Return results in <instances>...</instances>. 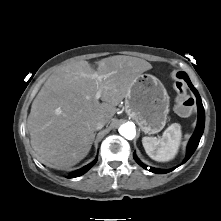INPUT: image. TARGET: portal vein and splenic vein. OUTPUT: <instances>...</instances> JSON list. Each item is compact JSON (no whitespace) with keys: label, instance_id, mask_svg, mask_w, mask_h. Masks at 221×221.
Masks as SVG:
<instances>
[{"label":"portal vein and splenic vein","instance_id":"1","mask_svg":"<svg viewBox=\"0 0 221 221\" xmlns=\"http://www.w3.org/2000/svg\"><path fill=\"white\" fill-rule=\"evenodd\" d=\"M98 81H102L103 76H97ZM101 97V91H98L95 95V99L98 100Z\"/></svg>","mask_w":221,"mask_h":221}]
</instances>
